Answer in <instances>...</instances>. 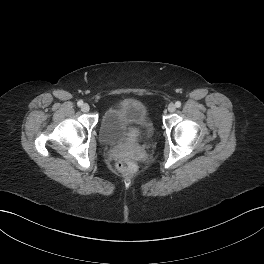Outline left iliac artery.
Listing matches in <instances>:
<instances>
[{"mask_svg":"<svg viewBox=\"0 0 264 264\" xmlns=\"http://www.w3.org/2000/svg\"><path fill=\"white\" fill-rule=\"evenodd\" d=\"M175 106H176L177 108H179V107L181 106V102H180V101H177V102L175 103Z\"/></svg>","mask_w":264,"mask_h":264,"instance_id":"left-iliac-artery-1","label":"left iliac artery"}]
</instances>
